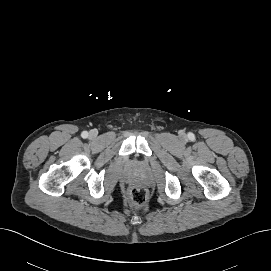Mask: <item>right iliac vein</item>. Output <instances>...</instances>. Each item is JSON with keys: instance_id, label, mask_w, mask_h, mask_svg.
Listing matches in <instances>:
<instances>
[{"instance_id": "obj_1", "label": "right iliac vein", "mask_w": 271, "mask_h": 271, "mask_svg": "<svg viewBox=\"0 0 271 271\" xmlns=\"http://www.w3.org/2000/svg\"><path fill=\"white\" fill-rule=\"evenodd\" d=\"M96 136H97V132H96L95 130H91V131L89 132V137H90L91 139H95Z\"/></svg>"}]
</instances>
